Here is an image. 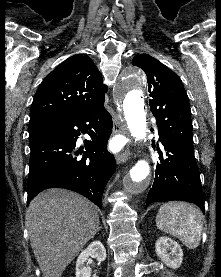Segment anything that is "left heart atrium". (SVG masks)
Listing matches in <instances>:
<instances>
[{"mask_svg": "<svg viewBox=\"0 0 221 277\" xmlns=\"http://www.w3.org/2000/svg\"><path fill=\"white\" fill-rule=\"evenodd\" d=\"M121 147H122V141H121V140L115 139V140L112 141V143H111V148H112L114 151L119 150Z\"/></svg>", "mask_w": 221, "mask_h": 277, "instance_id": "left-heart-atrium-1", "label": "left heart atrium"}]
</instances>
